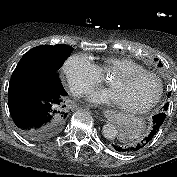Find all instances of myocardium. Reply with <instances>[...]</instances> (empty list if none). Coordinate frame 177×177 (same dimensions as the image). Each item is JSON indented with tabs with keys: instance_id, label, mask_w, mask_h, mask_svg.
<instances>
[{
	"instance_id": "f54148a6",
	"label": "myocardium",
	"mask_w": 177,
	"mask_h": 177,
	"mask_svg": "<svg viewBox=\"0 0 177 177\" xmlns=\"http://www.w3.org/2000/svg\"><path fill=\"white\" fill-rule=\"evenodd\" d=\"M112 77L118 78V79H129V78H136V77H150L154 79V81L157 84V89L155 94L145 103L137 106H125L119 104V107L127 112H133V113H141L149 110L152 108L161 98L163 93V83L160 77L150 71L147 70H130L125 72H119L112 75Z\"/></svg>"
}]
</instances>
